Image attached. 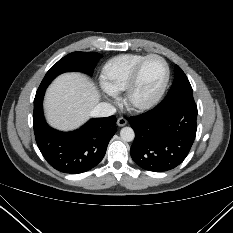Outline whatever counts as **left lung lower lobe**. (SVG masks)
<instances>
[{
    "mask_svg": "<svg viewBox=\"0 0 233 233\" xmlns=\"http://www.w3.org/2000/svg\"><path fill=\"white\" fill-rule=\"evenodd\" d=\"M195 101L176 100L129 118L135 131L131 157L145 170L175 168L188 155L197 130Z\"/></svg>",
    "mask_w": 233,
    "mask_h": 233,
    "instance_id": "left-lung-lower-lobe-1",
    "label": "left lung lower lobe"
}]
</instances>
